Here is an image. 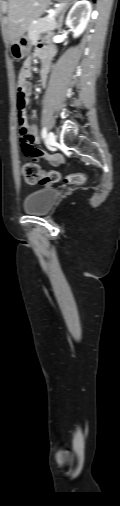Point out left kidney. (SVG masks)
I'll return each instance as SVG.
<instances>
[{"mask_svg":"<svg viewBox=\"0 0 120 506\" xmlns=\"http://www.w3.org/2000/svg\"><path fill=\"white\" fill-rule=\"evenodd\" d=\"M91 12L92 6L87 0L77 1L70 9L66 18V26L73 32L74 38L80 36L84 32L89 22Z\"/></svg>","mask_w":120,"mask_h":506,"instance_id":"5707ae66","label":"left kidney"}]
</instances>
